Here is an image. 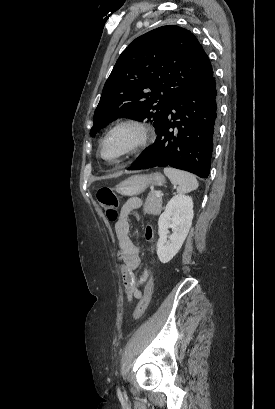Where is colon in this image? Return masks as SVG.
Masks as SVG:
<instances>
[{"mask_svg": "<svg viewBox=\"0 0 275 409\" xmlns=\"http://www.w3.org/2000/svg\"><path fill=\"white\" fill-rule=\"evenodd\" d=\"M96 199L100 204L103 212L110 220H115L118 217L120 209V201L118 197L108 188H103L97 191ZM146 239L152 241L154 239V232L151 226L147 225L145 229ZM152 296V281L147 283L145 292L138 302L134 312L133 319L138 320L146 311Z\"/></svg>", "mask_w": 275, "mask_h": 409, "instance_id": "1", "label": "colon"}]
</instances>
